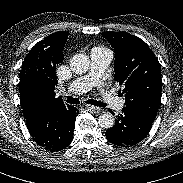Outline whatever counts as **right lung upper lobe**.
Returning <instances> with one entry per match:
<instances>
[{
	"label": "right lung upper lobe",
	"mask_w": 183,
	"mask_h": 183,
	"mask_svg": "<svg viewBox=\"0 0 183 183\" xmlns=\"http://www.w3.org/2000/svg\"><path fill=\"white\" fill-rule=\"evenodd\" d=\"M68 32L58 31L39 41L22 63L19 78L20 102L27 117L39 107H67L55 98L56 66L63 59Z\"/></svg>",
	"instance_id": "obj_1"
}]
</instances>
